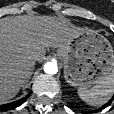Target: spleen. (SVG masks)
Masks as SVG:
<instances>
[{"mask_svg": "<svg viewBox=\"0 0 114 114\" xmlns=\"http://www.w3.org/2000/svg\"><path fill=\"white\" fill-rule=\"evenodd\" d=\"M114 93V71L101 79L95 86L90 89L79 88V97L89 105L101 106L109 101Z\"/></svg>", "mask_w": 114, "mask_h": 114, "instance_id": "1", "label": "spleen"}]
</instances>
